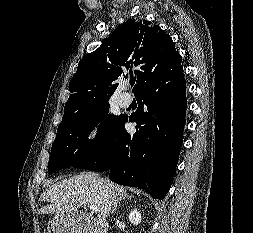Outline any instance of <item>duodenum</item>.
Instances as JSON below:
<instances>
[{"instance_id":"duodenum-1","label":"duodenum","mask_w":253,"mask_h":233,"mask_svg":"<svg viewBox=\"0 0 253 233\" xmlns=\"http://www.w3.org/2000/svg\"><path fill=\"white\" fill-rule=\"evenodd\" d=\"M87 233H102V230L100 229V227H97L95 225H89Z\"/></svg>"}]
</instances>
